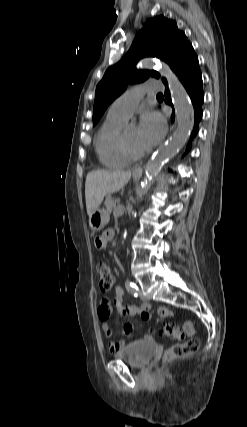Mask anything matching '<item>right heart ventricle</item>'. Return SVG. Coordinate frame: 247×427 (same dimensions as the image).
Returning a JSON list of instances; mask_svg holds the SVG:
<instances>
[{
  "label": "right heart ventricle",
  "mask_w": 247,
  "mask_h": 427,
  "mask_svg": "<svg viewBox=\"0 0 247 427\" xmlns=\"http://www.w3.org/2000/svg\"><path fill=\"white\" fill-rule=\"evenodd\" d=\"M125 120L107 115L94 138V147L100 164L119 168L129 163L120 147L121 130Z\"/></svg>",
  "instance_id": "1"
}]
</instances>
